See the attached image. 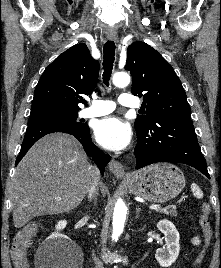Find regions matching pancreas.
<instances>
[{
    "mask_svg": "<svg viewBox=\"0 0 221 268\" xmlns=\"http://www.w3.org/2000/svg\"><path fill=\"white\" fill-rule=\"evenodd\" d=\"M157 211L171 217L177 216L176 207L174 205H170L162 209H157Z\"/></svg>",
    "mask_w": 221,
    "mask_h": 268,
    "instance_id": "cf45deb5",
    "label": "pancreas"
}]
</instances>
